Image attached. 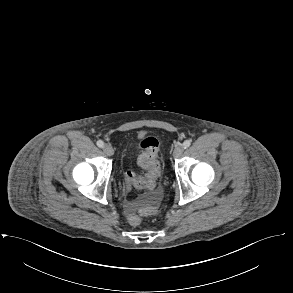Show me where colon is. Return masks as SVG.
Masks as SVG:
<instances>
[{
	"label": "colon",
	"mask_w": 293,
	"mask_h": 293,
	"mask_svg": "<svg viewBox=\"0 0 293 293\" xmlns=\"http://www.w3.org/2000/svg\"><path fill=\"white\" fill-rule=\"evenodd\" d=\"M144 149L139 157V164L147 170L145 177L137 178L133 173H127V182L133 185L137 182L143 183L146 187L152 188L156 182L160 172V165L158 162V152L160 143L157 138L153 136H145L141 141ZM128 221L131 225L137 226L141 223V217L138 214H130Z\"/></svg>",
	"instance_id": "colon-1"
}]
</instances>
